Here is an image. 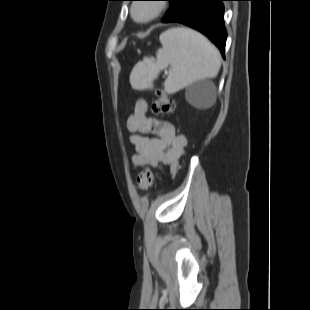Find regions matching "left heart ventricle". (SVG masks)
I'll list each match as a JSON object with an SVG mask.
<instances>
[{"label": "left heart ventricle", "instance_id": "b2bd125f", "mask_svg": "<svg viewBox=\"0 0 310 310\" xmlns=\"http://www.w3.org/2000/svg\"><path fill=\"white\" fill-rule=\"evenodd\" d=\"M146 13H147V11H146L145 9H140L139 12H138V14H139L140 16H143V15H145Z\"/></svg>", "mask_w": 310, "mask_h": 310}]
</instances>
